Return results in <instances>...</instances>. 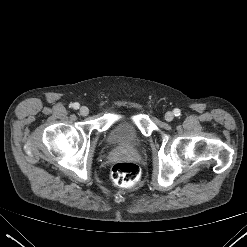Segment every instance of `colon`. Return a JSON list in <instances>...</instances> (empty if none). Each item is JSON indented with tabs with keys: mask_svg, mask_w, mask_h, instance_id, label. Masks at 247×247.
<instances>
[{
	"mask_svg": "<svg viewBox=\"0 0 247 247\" xmlns=\"http://www.w3.org/2000/svg\"><path fill=\"white\" fill-rule=\"evenodd\" d=\"M112 179L121 187H132L140 179V169L132 162H120L112 168Z\"/></svg>",
	"mask_w": 247,
	"mask_h": 247,
	"instance_id": "1",
	"label": "colon"
}]
</instances>
